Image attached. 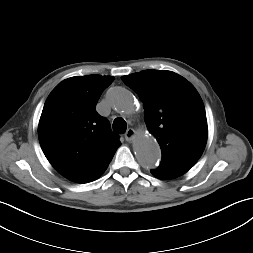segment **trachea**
<instances>
[{
  "label": "trachea",
  "instance_id": "trachea-1",
  "mask_svg": "<svg viewBox=\"0 0 253 253\" xmlns=\"http://www.w3.org/2000/svg\"><path fill=\"white\" fill-rule=\"evenodd\" d=\"M126 129H127V124H126V121L123 118L118 117L114 120V122H113V131L115 133L123 134V133H125Z\"/></svg>",
  "mask_w": 253,
  "mask_h": 253
}]
</instances>
